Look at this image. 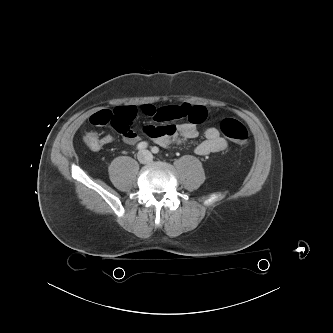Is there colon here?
I'll return each instance as SVG.
<instances>
[{"instance_id":"obj_1","label":"colon","mask_w":333,"mask_h":333,"mask_svg":"<svg viewBox=\"0 0 333 333\" xmlns=\"http://www.w3.org/2000/svg\"><path fill=\"white\" fill-rule=\"evenodd\" d=\"M137 115L134 107H128L122 113L116 114L111 110H102L96 113L95 122L98 126L112 125L119 131H125L132 124ZM220 130L229 140L239 145H246L249 141V132L245 125L234 118H225L220 122ZM86 146L93 150H99L104 144V137L97 132H86L83 137Z\"/></svg>"}]
</instances>
